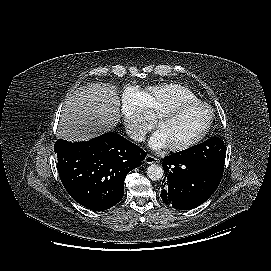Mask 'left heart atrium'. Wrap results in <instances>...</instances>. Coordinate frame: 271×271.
Returning a JSON list of instances; mask_svg holds the SVG:
<instances>
[{
  "label": "left heart atrium",
  "mask_w": 271,
  "mask_h": 271,
  "mask_svg": "<svg viewBox=\"0 0 271 271\" xmlns=\"http://www.w3.org/2000/svg\"><path fill=\"white\" fill-rule=\"evenodd\" d=\"M149 146L152 149H162V148H166L167 142L165 140V137L163 136V134L161 133V131L156 130L153 135L151 136L150 140H149Z\"/></svg>",
  "instance_id": "obj_1"
}]
</instances>
